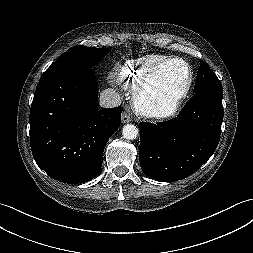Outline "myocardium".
<instances>
[{"label": "myocardium", "mask_w": 253, "mask_h": 253, "mask_svg": "<svg viewBox=\"0 0 253 253\" xmlns=\"http://www.w3.org/2000/svg\"><path fill=\"white\" fill-rule=\"evenodd\" d=\"M172 62H180L183 63L188 70V80L186 83V86L184 89L176 95L169 107L167 109H160L156 106H154L148 99H147V92L150 87V84L154 78V76L167 64ZM194 81V71L191 66V64L180 57H170L167 58L158 64H156L154 67H152L149 72L144 76L141 83L137 87V89L134 92V107L135 110L140 113L141 115L153 118V119H167L171 118L174 115L178 113L180 110L183 102L187 98L188 94L191 91L192 85Z\"/></svg>", "instance_id": "myocardium-1"}]
</instances>
